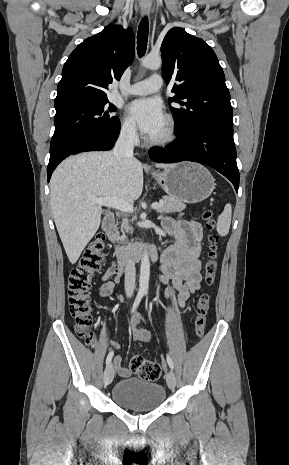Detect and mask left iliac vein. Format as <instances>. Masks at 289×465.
Wrapping results in <instances>:
<instances>
[{
  "label": "left iliac vein",
  "instance_id": "obj_1",
  "mask_svg": "<svg viewBox=\"0 0 289 465\" xmlns=\"http://www.w3.org/2000/svg\"><path fill=\"white\" fill-rule=\"evenodd\" d=\"M166 381H167V385L170 389H174L175 386H176V376H175V373L170 370L167 375H166Z\"/></svg>",
  "mask_w": 289,
  "mask_h": 465
}]
</instances>
